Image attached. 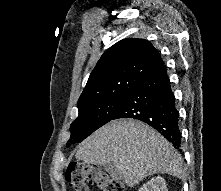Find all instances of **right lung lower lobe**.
Masks as SVG:
<instances>
[{
	"instance_id": "obj_1",
	"label": "right lung lower lobe",
	"mask_w": 221,
	"mask_h": 191,
	"mask_svg": "<svg viewBox=\"0 0 221 191\" xmlns=\"http://www.w3.org/2000/svg\"><path fill=\"white\" fill-rule=\"evenodd\" d=\"M119 118L149 124L182 151L179 113L164 65L130 90L112 120Z\"/></svg>"
}]
</instances>
